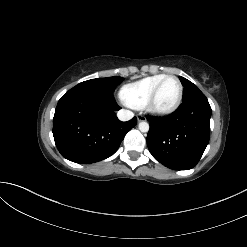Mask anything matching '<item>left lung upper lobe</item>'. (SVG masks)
<instances>
[{
  "label": "left lung upper lobe",
  "instance_id": "obj_1",
  "mask_svg": "<svg viewBox=\"0 0 247 247\" xmlns=\"http://www.w3.org/2000/svg\"><path fill=\"white\" fill-rule=\"evenodd\" d=\"M179 79L184 86L182 102L194 97L195 95L203 94L191 81L181 76H179Z\"/></svg>",
  "mask_w": 247,
  "mask_h": 247
}]
</instances>
